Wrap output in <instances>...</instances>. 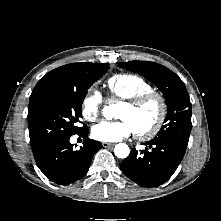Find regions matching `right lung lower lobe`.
I'll return each mask as SVG.
<instances>
[{
    "mask_svg": "<svg viewBox=\"0 0 221 221\" xmlns=\"http://www.w3.org/2000/svg\"><path fill=\"white\" fill-rule=\"evenodd\" d=\"M88 133L87 126L76 133L84 138L83 146L78 150L70 143V136L56 138L33 150L38 167L49 180L68 185L87 173L93 155L102 148L100 142L86 138Z\"/></svg>",
    "mask_w": 221,
    "mask_h": 221,
    "instance_id": "right-lung-lower-lobe-1",
    "label": "right lung lower lobe"
}]
</instances>
